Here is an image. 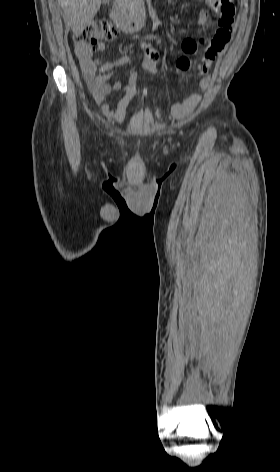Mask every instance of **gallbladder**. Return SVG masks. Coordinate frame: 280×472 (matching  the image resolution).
Segmentation results:
<instances>
[{
  "label": "gallbladder",
  "mask_w": 280,
  "mask_h": 472,
  "mask_svg": "<svg viewBox=\"0 0 280 472\" xmlns=\"http://www.w3.org/2000/svg\"><path fill=\"white\" fill-rule=\"evenodd\" d=\"M103 1H104V2H107V1H109V0H103Z\"/></svg>",
  "instance_id": "1"
}]
</instances>
